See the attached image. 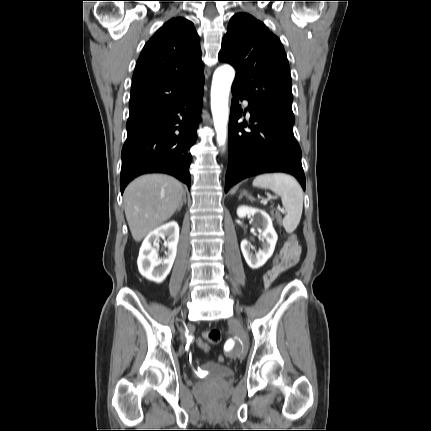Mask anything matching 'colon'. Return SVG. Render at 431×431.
Returning <instances> with one entry per match:
<instances>
[{
    "instance_id": "1",
    "label": "colon",
    "mask_w": 431,
    "mask_h": 431,
    "mask_svg": "<svg viewBox=\"0 0 431 431\" xmlns=\"http://www.w3.org/2000/svg\"><path fill=\"white\" fill-rule=\"evenodd\" d=\"M284 228L280 227V232H282V237H285L286 240H293V237L296 236L294 234L291 235H287L286 232H283ZM288 242V241H287ZM280 256H282V252H280L279 254H274L273 255V259L270 260V265L271 263H277V259H280ZM222 335H221V331L219 329H210L207 330L203 333V340L200 341V339H197V348L199 350H204L205 354H210L211 353V348L208 346L207 343L210 344H218L221 341ZM224 358L225 355L221 354L220 359V363L224 362Z\"/></svg>"
}]
</instances>
